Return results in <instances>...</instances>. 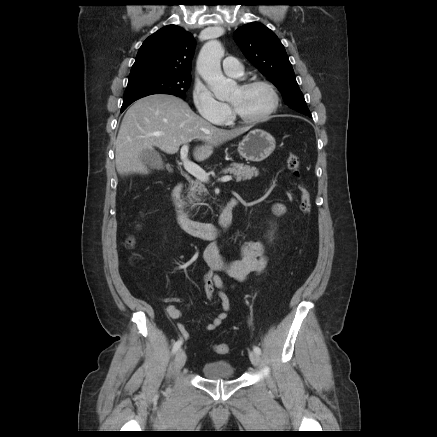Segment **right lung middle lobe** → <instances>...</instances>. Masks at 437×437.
<instances>
[{
    "instance_id": "1",
    "label": "right lung middle lobe",
    "mask_w": 437,
    "mask_h": 437,
    "mask_svg": "<svg viewBox=\"0 0 437 437\" xmlns=\"http://www.w3.org/2000/svg\"><path fill=\"white\" fill-rule=\"evenodd\" d=\"M191 75H171L152 70L133 71L129 75L121 110L132 102L153 94H170L185 97Z\"/></svg>"
}]
</instances>
